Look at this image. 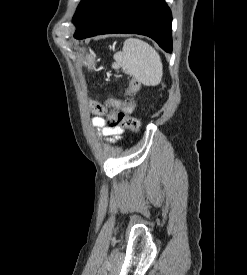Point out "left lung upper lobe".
Wrapping results in <instances>:
<instances>
[{
    "instance_id": "obj_1",
    "label": "left lung upper lobe",
    "mask_w": 247,
    "mask_h": 275,
    "mask_svg": "<svg viewBox=\"0 0 247 275\" xmlns=\"http://www.w3.org/2000/svg\"><path fill=\"white\" fill-rule=\"evenodd\" d=\"M101 0H81L77 11L73 17V23L77 29L80 28L94 8L99 4Z\"/></svg>"
}]
</instances>
